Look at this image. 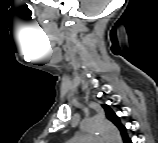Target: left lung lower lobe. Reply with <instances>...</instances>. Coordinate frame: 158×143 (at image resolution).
Listing matches in <instances>:
<instances>
[{
    "mask_svg": "<svg viewBox=\"0 0 158 143\" xmlns=\"http://www.w3.org/2000/svg\"><path fill=\"white\" fill-rule=\"evenodd\" d=\"M122 138L124 140V143H132L127 134L123 135Z\"/></svg>",
    "mask_w": 158,
    "mask_h": 143,
    "instance_id": "obj_1",
    "label": "left lung lower lobe"
}]
</instances>
